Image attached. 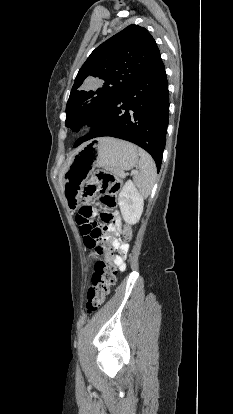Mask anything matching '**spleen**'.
Segmentation results:
<instances>
[{
	"instance_id": "spleen-1",
	"label": "spleen",
	"mask_w": 233,
	"mask_h": 414,
	"mask_svg": "<svg viewBox=\"0 0 233 414\" xmlns=\"http://www.w3.org/2000/svg\"><path fill=\"white\" fill-rule=\"evenodd\" d=\"M139 171L134 175V182L143 196H148L155 184L157 169L152 157L143 149H139Z\"/></svg>"
}]
</instances>
